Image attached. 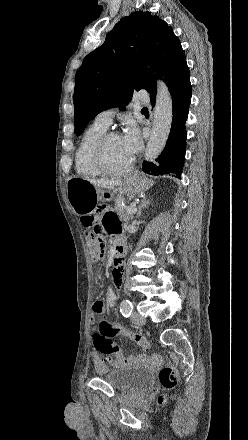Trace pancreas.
Segmentation results:
<instances>
[{"mask_svg":"<svg viewBox=\"0 0 248 440\" xmlns=\"http://www.w3.org/2000/svg\"><path fill=\"white\" fill-rule=\"evenodd\" d=\"M123 198L117 197L115 198V206L118 211L119 216L126 222H129L133 218V214L128 213L126 207L121 206Z\"/></svg>","mask_w":248,"mask_h":440,"instance_id":"cf45deb5","label":"pancreas"}]
</instances>
